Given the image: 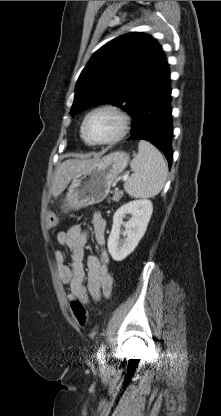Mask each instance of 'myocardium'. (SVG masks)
Wrapping results in <instances>:
<instances>
[{
	"label": "myocardium",
	"mask_w": 221,
	"mask_h": 416,
	"mask_svg": "<svg viewBox=\"0 0 221 416\" xmlns=\"http://www.w3.org/2000/svg\"><path fill=\"white\" fill-rule=\"evenodd\" d=\"M99 112H109L115 115L119 121V127L112 137L105 139V140H95L88 136L86 131L87 122L91 116ZM130 124V118L128 114L121 109L120 107L113 105V104H104L97 106L90 110L84 117L82 124H81V134L82 137L90 144L93 145H109L118 142L121 140L128 132Z\"/></svg>",
	"instance_id": "myocardium-1"
}]
</instances>
